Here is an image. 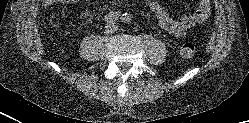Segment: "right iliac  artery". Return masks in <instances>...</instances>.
<instances>
[{"mask_svg": "<svg viewBox=\"0 0 249 123\" xmlns=\"http://www.w3.org/2000/svg\"><path fill=\"white\" fill-rule=\"evenodd\" d=\"M119 16L120 12H110L105 16L104 20L107 23H114L116 20H118Z\"/></svg>", "mask_w": 249, "mask_h": 123, "instance_id": "1", "label": "right iliac artery"}]
</instances>
